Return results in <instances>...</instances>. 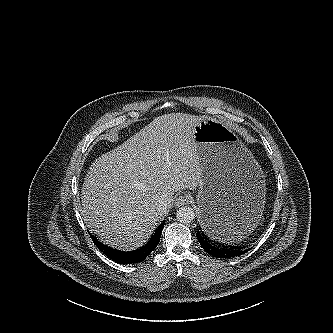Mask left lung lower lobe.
Instances as JSON below:
<instances>
[{
  "mask_svg": "<svg viewBox=\"0 0 333 333\" xmlns=\"http://www.w3.org/2000/svg\"><path fill=\"white\" fill-rule=\"evenodd\" d=\"M240 226L232 218L222 214L219 210H212L211 219L208 220L206 229H203L206 234L210 233L213 239L221 240L232 229H238ZM209 235V234H208ZM197 239L201 247L210 255L217 258H232L240 256L250 249L239 250L234 246H221L213 240H210L203 232L198 230Z\"/></svg>",
  "mask_w": 333,
  "mask_h": 333,
  "instance_id": "0a47b994",
  "label": "left lung lower lobe"
}]
</instances>
